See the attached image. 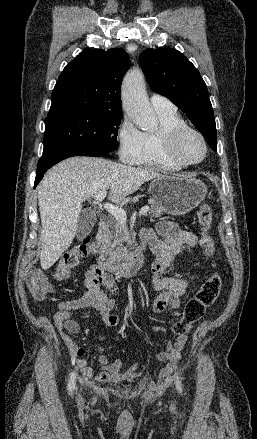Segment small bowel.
<instances>
[{"instance_id":"c3829d8e","label":"small bowel","mask_w":257,"mask_h":439,"mask_svg":"<svg viewBox=\"0 0 257 439\" xmlns=\"http://www.w3.org/2000/svg\"><path fill=\"white\" fill-rule=\"evenodd\" d=\"M158 235L163 236L164 239L159 240ZM140 238L156 255L150 267L151 284L155 291L151 304L153 312L169 311L173 315H179L177 309L180 306V299L189 283L186 279L163 276V273L178 254L184 251L190 252L196 246L197 236L181 230L175 223L163 221L159 222L155 229L142 230ZM85 286L87 290L80 298L58 302V311L53 316L56 326L69 333L80 332V323L72 312L92 307L100 312L108 329L118 327L120 321L113 311L115 306L113 296L118 290L114 278L99 269L98 266H92L85 274ZM153 330L166 333V329L161 326H155ZM62 339L70 357L89 379L100 382L133 381L141 375V369L144 368H140L137 363L126 367L121 359L111 360L104 354L106 346L95 345L94 350L98 354L97 361L100 366V371L97 372L89 366L87 359L84 358L85 350L83 347L74 343L66 335H63ZM187 341L186 334L178 336L175 341L168 340L166 349L156 354L157 360L166 363L163 374H169L176 368Z\"/></svg>"}]
</instances>
